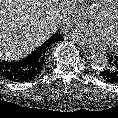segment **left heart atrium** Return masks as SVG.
Returning a JSON list of instances; mask_svg holds the SVG:
<instances>
[{"instance_id":"left-heart-atrium-1","label":"left heart atrium","mask_w":118,"mask_h":118,"mask_svg":"<svg viewBox=\"0 0 118 118\" xmlns=\"http://www.w3.org/2000/svg\"><path fill=\"white\" fill-rule=\"evenodd\" d=\"M72 37L89 47L103 48L110 44L106 32L96 25L79 26L72 32Z\"/></svg>"}]
</instances>
